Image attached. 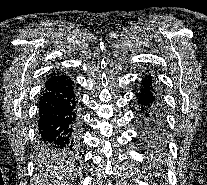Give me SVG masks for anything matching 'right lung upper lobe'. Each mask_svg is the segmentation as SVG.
Instances as JSON below:
<instances>
[{
	"label": "right lung upper lobe",
	"instance_id": "1",
	"mask_svg": "<svg viewBox=\"0 0 207 185\" xmlns=\"http://www.w3.org/2000/svg\"><path fill=\"white\" fill-rule=\"evenodd\" d=\"M57 75H59V72L52 74L50 77H55Z\"/></svg>",
	"mask_w": 207,
	"mask_h": 185
}]
</instances>
